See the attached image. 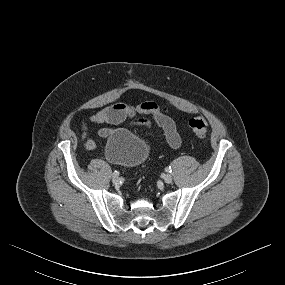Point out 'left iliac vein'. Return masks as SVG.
<instances>
[{
	"instance_id": "4c4485c4",
	"label": "left iliac vein",
	"mask_w": 285,
	"mask_h": 285,
	"mask_svg": "<svg viewBox=\"0 0 285 285\" xmlns=\"http://www.w3.org/2000/svg\"><path fill=\"white\" fill-rule=\"evenodd\" d=\"M172 181H173V178H172V176H171L170 174H166V175L164 176V182H165V183L170 184V183H172Z\"/></svg>"
}]
</instances>
